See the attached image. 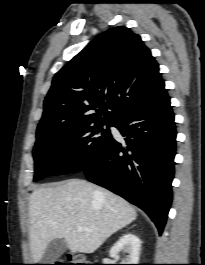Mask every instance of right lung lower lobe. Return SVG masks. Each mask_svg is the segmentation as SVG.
<instances>
[{
    "instance_id": "98d812e1",
    "label": "right lung lower lobe",
    "mask_w": 205,
    "mask_h": 265,
    "mask_svg": "<svg viewBox=\"0 0 205 265\" xmlns=\"http://www.w3.org/2000/svg\"><path fill=\"white\" fill-rule=\"evenodd\" d=\"M113 137L82 171L87 179L144 210L162 233L172 201L176 130L164 89L146 106L114 122Z\"/></svg>"
}]
</instances>
